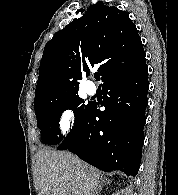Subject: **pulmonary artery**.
I'll use <instances>...</instances> for the list:
<instances>
[{
  "label": "pulmonary artery",
  "mask_w": 178,
  "mask_h": 195,
  "mask_svg": "<svg viewBox=\"0 0 178 195\" xmlns=\"http://www.w3.org/2000/svg\"><path fill=\"white\" fill-rule=\"evenodd\" d=\"M86 91L89 95H94L97 91V87L92 81H89L86 85Z\"/></svg>",
  "instance_id": "obj_1"
}]
</instances>
